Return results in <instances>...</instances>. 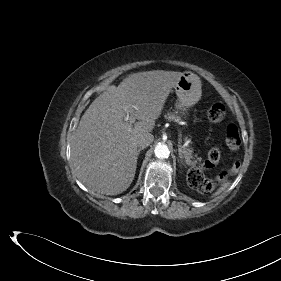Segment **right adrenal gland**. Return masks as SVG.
Returning a JSON list of instances; mask_svg holds the SVG:
<instances>
[{"instance_id": "right-adrenal-gland-1", "label": "right adrenal gland", "mask_w": 281, "mask_h": 281, "mask_svg": "<svg viewBox=\"0 0 281 281\" xmlns=\"http://www.w3.org/2000/svg\"><path fill=\"white\" fill-rule=\"evenodd\" d=\"M142 149H138V155L140 154V151H141Z\"/></svg>"}]
</instances>
